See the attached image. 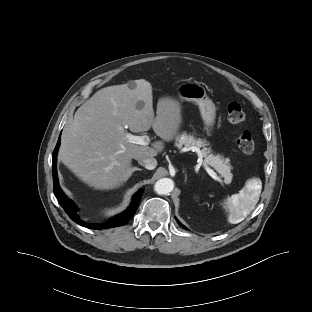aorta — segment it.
Masks as SVG:
<instances>
[{
  "label": "aorta",
  "mask_w": 312,
  "mask_h": 312,
  "mask_svg": "<svg viewBox=\"0 0 312 312\" xmlns=\"http://www.w3.org/2000/svg\"><path fill=\"white\" fill-rule=\"evenodd\" d=\"M173 188L174 182L170 178L159 179L154 185V190L159 195L168 194L173 190Z\"/></svg>",
  "instance_id": "762f6f07"
}]
</instances>
